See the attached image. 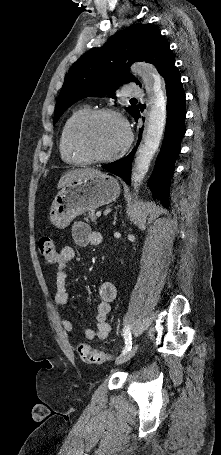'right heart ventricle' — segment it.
<instances>
[{"label":"right heart ventricle","mask_w":221,"mask_h":455,"mask_svg":"<svg viewBox=\"0 0 221 455\" xmlns=\"http://www.w3.org/2000/svg\"><path fill=\"white\" fill-rule=\"evenodd\" d=\"M89 112L87 106L75 109L63 124L59 149L62 159L75 166L86 165L89 160L77 149L75 144V129L79 121Z\"/></svg>","instance_id":"right-heart-ventricle-1"}]
</instances>
